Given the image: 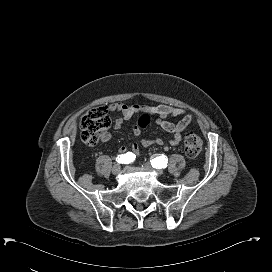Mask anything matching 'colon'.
<instances>
[{"mask_svg": "<svg viewBox=\"0 0 272 272\" xmlns=\"http://www.w3.org/2000/svg\"><path fill=\"white\" fill-rule=\"evenodd\" d=\"M148 118L141 117L140 123H146ZM110 127V118L108 116V108L99 106L87 111L79 122L81 139L88 145H94L98 142L102 133ZM200 137L189 132L184 139V151L186 156L194 160L201 151Z\"/></svg>", "mask_w": 272, "mask_h": 272, "instance_id": "5ec220e1", "label": "colon"}]
</instances>
